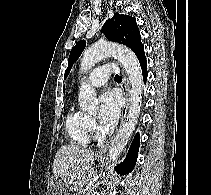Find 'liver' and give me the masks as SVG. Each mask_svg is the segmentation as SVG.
Returning <instances> with one entry per match:
<instances>
[{"instance_id":"1","label":"liver","mask_w":211,"mask_h":195,"mask_svg":"<svg viewBox=\"0 0 211 195\" xmlns=\"http://www.w3.org/2000/svg\"><path fill=\"white\" fill-rule=\"evenodd\" d=\"M94 152L76 145H62L53 161V174L60 178L70 191L82 189L93 174ZM64 194V189H61Z\"/></svg>"}]
</instances>
